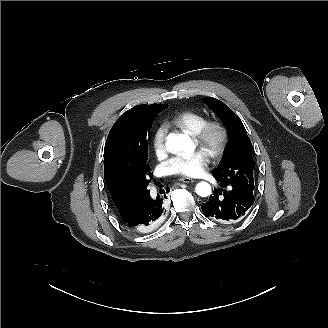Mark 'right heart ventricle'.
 <instances>
[{
    "label": "right heart ventricle",
    "mask_w": 328,
    "mask_h": 328,
    "mask_svg": "<svg viewBox=\"0 0 328 328\" xmlns=\"http://www.w3.org/2000/svg\"><path fill=\"white\" fill-rule=\"evenodd\" d=\"M206 121V116L193 111H187L172 117L171 122L186 134L197 133L200 126Z\"/></svg>",
    "instance_id": "right-heart-ventricle-1"
}]
</instances>
